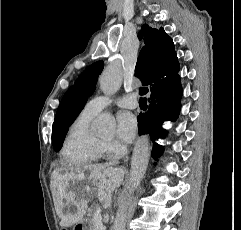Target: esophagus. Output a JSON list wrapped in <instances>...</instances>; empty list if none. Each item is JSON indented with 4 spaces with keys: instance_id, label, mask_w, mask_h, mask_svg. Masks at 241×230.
<instances>
[{
    "instance_id": "esophagus-1",
    "label": "esophagus",
    "mask_w": 241,
    "mask_h": 230,
    "mask_svg": "<svg viewBox=\"0 0 241 230\" xmlns=\"http://www.w3.org/2000/svg\"><path fill=\"white\" fill-rule=\"evenodd\" d=\"M129 157L126 156L125 159H124V162L126 163L128 161Z\"/></svg>"
}]
</instances>
